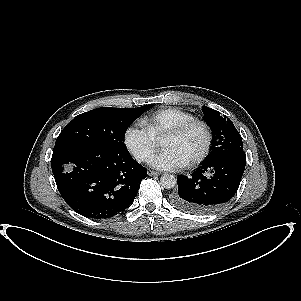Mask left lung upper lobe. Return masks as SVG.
<instances>
[{
	"instance_id": "5c2ea615",
	"label": "left lung upper lobe",
	"mask_w": 301,
	"mask_h": 301,
	"mask_svg": "<svg viewBox=\"0 0 301 301\" xmlns=\"http://www.w3.org/2000/svg\"><path fill=\"white\" fill-rule=\"evenodd\" d=\"M203 120L210 126L214 138L211 154L206 160L211 159L228 149H243L242 138L230 119L220 116V112L204 106Z\"/></svg>"
}]
</instances>
